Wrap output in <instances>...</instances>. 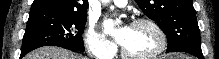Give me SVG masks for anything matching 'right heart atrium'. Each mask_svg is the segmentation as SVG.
I'll return each instance as SVG.
<instances>
[{
  "label": "right heart atrium",
  "mask_w": 219,
  "mask_h": 59,
  "mask_svg": "<svg viewBox=\"0 0 219 59\" xmlns=\"http://www.w3.org/2000/svg\"><path fill=\"white\" fill-rule=\"evenodd\" d=\"M84 43L89 55L96 59H108L114 54V44L91 23L85 33Z\"/></svg>",
  "instance_id": "right-heart-atrium-1"
}]
</instances>
